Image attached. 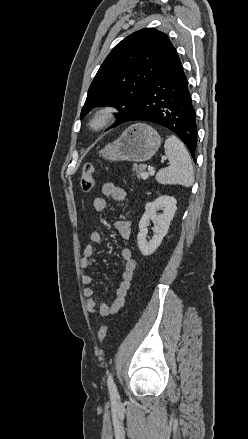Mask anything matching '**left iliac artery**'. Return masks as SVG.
Here are the masks:
<instances>
[{
  "label": "left iliac artery",
  "instance_id": "obj_1",
  "mask_svg": "<svg viewBox=\"0 0 248 439\" xmlns=\"http://www.w3.org/2000/svg\"><path fill=\"white\" fill-rule=\"evenodd\" d=\"M107 385H108V389H109L110 395L114 396V397H117L118 396V392H117V389H116V385L114 383V379H113V374L112 373L108 376Z\"/></svg>",
  "mask_w": 248,
  "mask_h": 439
}]
</instances>
